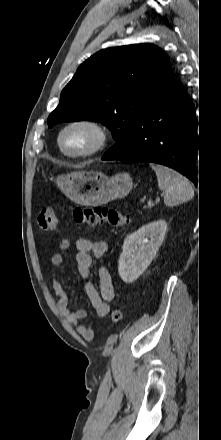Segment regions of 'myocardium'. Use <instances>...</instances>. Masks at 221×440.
I'll return each instance as SVG.
<instances>
[{
    "mask_svg": "<svg viewBox=\"0 0 221 440\" xmlns=\"http://www.w3.org/2000/svg\"><path fill=\"white\" fill-rule=\"evenodd\" d=\"M74 128L86 130L92 137L91 144L80 151H70L64 148L65 134ZM109 133L107 128L98 120L92 118H77L64 124L57 134V146L61 154L72 159L87 158L100 153L108 144Z\"/></svg>",
    "mask_w": 221,
    "mask_h": 440,
    "instance_id": "myocardium-1",
    "label": "myocardium"
}]
</instances>
